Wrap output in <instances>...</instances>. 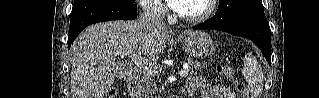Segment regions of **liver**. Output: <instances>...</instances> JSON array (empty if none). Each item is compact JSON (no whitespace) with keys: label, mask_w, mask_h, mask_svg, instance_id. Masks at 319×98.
Here are the masks:
<instances>
[{"label":"liver","mask_w":319,"mask_h":98,"mask_svg":"<svg viewBox=\"0 0 319 98\" xmlns=\"http://www.w3.org/2000/svg\"><path fill=\"white\" fill-rule=\"evenodd\" d=\"M168 40L167 29H146L140 20L88 26L71 47V98H103L118 75L117 51H137L153 58Z\"/></svg>","instance_id":"1"}]
</instances>
